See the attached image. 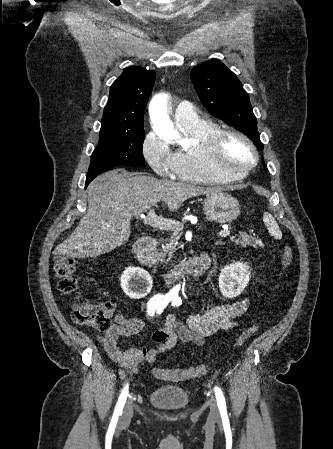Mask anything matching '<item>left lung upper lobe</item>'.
Returning a JSON list of instances; mask_svg holds the SVG:
<instances>
[{
  "label": "left lung upper lobe",
  "instance_id": "obj_1",
  "mask_svg": "<svg viewBox=\"0 0 333 449\" xmlns=\"http://www.w3.org/2000/svg\"><path fill=\"white\" fill-rule=\"evenodd\" d=\"M190 75L200 100L210 114L241 130L262 150L249 96L237 76L217 59L194 67Z\"/></svg>",
  "mask_w": 333,
  "mask_h": 449
}]
</instances>
